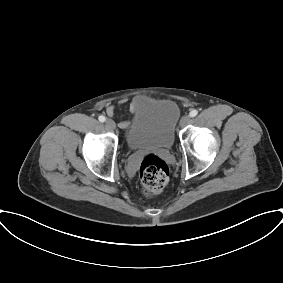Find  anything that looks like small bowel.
Listing matches in <instances>:
<instances>
[{
    "mask_svg": "<svg viewBox=\"0 0 283 283\" xmlns=\"http://www.w3.org/2000/svg\"><path fill=\"white\" fill-rule=\"evenodd\" d=\"M142 99H134L129 104V110L131 112L135 111V109L141 104ZM121 103H124V101H121ZM106 113L109 117H113L115 115V107L110 105L106 108ZM130 123L128 121H121L119 122L118 126L121 129H127L129 127Z\"/></svg>",
    "mask_w": 283,
    "mask_h": 283,
    "instance_id": "c3829d8e",
    "label": "small bowel"
}]
</instances>
